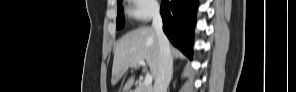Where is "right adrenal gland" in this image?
I'll list each match as a JSON object with an SVG mask.
<instances>
[{
  "mask_svg": "<svg viewBox=\"0 0 296 92\" xmlns=\"http://www.w3.org/2000/svg\"><path fill=\"white\" fill-rule=\"evenodd\" d=\"M173 71H174V69L172 68V72H171V78L173 77Z\"/></svg>",
  "mask_w": 296,
  "mask_h": 92,
  "instance_id": "right-adrenal-gland-1",
  "label": "right adrenal gland"
}]
</instances>
